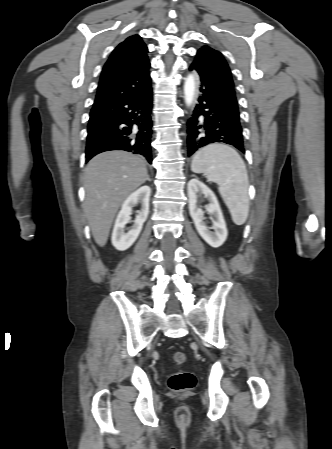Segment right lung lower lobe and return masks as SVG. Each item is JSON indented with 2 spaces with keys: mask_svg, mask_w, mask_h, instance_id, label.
I'll list each match as a JSON object with an SVG mask.
<instances>
[{
  "mask_svg": "<svg viewBox=\"0 0 332 449\" xmlns=\"http://www.w3.org/2000/svg\"><path fill=\"white\" fill-rule=\"evenodd\" d=\"M152 90L143 95L94 105L90 112L86 161L110 150L144 156L152 163Z\"/></svg>",
  "mask_w": 332,
  "mask_h": 449,
  "instance_id": "obj_1",
  "label": "right lung lower lobe"
}]
</instances>
